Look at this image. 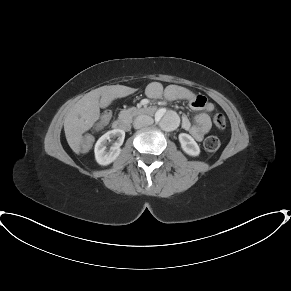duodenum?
I'll return each instance as SVG.
<instances>
[{"mask_svg": "<svg viewBox=\"0 0 291 291\" xmlns=\"http://www.w3.org/2000/svg\"><path fill=\"white\" fill-rule=\"evenodd\" d=\"M138 114L146 116H154L156 113V108L154 107H145L137 111ZM129 128V120L126 116L118 118L114 122V130L117 132L127 131Z\"/></svg>", "mask_w": 291, "mask_h": 291, "instance_id": "410a0bca", "label": "duodenum"}]
</instances>
